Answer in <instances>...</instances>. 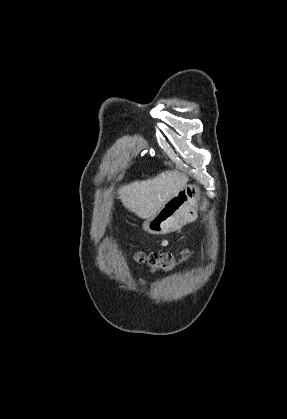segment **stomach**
I'll use <instances>...</instances> for the list:
<instances>
[{
  "instance_id": "0dacf381",
  "label": "stomach",
  "mask_w": 287,
  "mask_h": 419,
  "mask_svg": "<svg viewBox=\"0 0 287 419\" xmlns=\"http://www.w3.org/2000/svg\"><path fill=\"white\" fill-rule=\"evenodd\" d=\"M201 191L195 185H186L177 195L143 223V229L151 234H166L179 228L184 222L197 215L196 205Z\"/></svg>"
}]
</instances>
